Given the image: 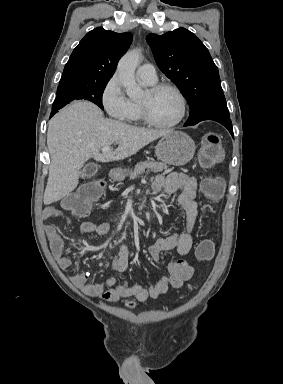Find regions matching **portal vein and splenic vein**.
<instances>
[{
	"instance_id": "18ae733b",
	"label": "portal vein and splenic vein",
	"mask_w": 283,
	"mask_h": 384,
	"mask_svg": "<svg viewBox=\"0 0 283 384\" xmlns=\"http://www.w3.org/2000/svg\"><path fill=\"white\" fill-rule=\"evenodd\" d=\"M102 152L103 154H108V152H111L110 148H107V146H104V148H102Z\"/></svg>"
}]
</instances>
